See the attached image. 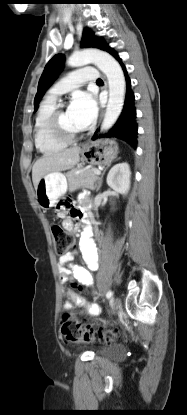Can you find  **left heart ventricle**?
Listing matches in <instances>:
<instances>
[{
	"mask_svg": "<svg viewBox=\"0 0 187 415\" xmlns=\"http://www.w3.org/2000/svg\"><path fill=\"white\" fill-rule=\"evenodd\" d=\"M61 125L69 133H79L83 130L71 117L68 110H65L61 116Z\"/></svg>",
	"mask_w": 187,
	"mask_h": 415,
	"instance_id": "1",
	"label": "left heart ventricle"
}]
</instances>
